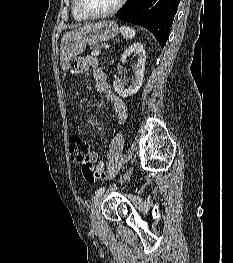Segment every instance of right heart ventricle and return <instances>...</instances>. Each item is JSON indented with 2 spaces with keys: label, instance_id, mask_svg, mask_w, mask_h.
I'll use <instances>...</instances> for the list:
<instances>
[{
  "label": "right heart ventricle",
  "instance_id": "e07e8e85",
  "mask_svg": "<svg viewBox=\"0 0 233 263\" xmlns=\"http://www.w3.org/2000/svg\"><path fill=\"white\" fill-rule=\"evenodd\" d=\"M72 13H73L74 18L78 21H82L86 19V17L82 15V13L80 12L78 8L77 0H74L73 2Z\"/></svg>",
  "mask_w": 233,
  "mask_h": 263
}]
</instances>
